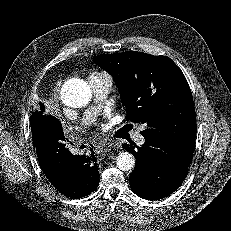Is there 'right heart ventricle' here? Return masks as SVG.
<instances>
[{
  "label": "right heart ventricle",
  "mask_w": 231,
  "mask_h": 231,
  "mask_svg": "<svg viewBox=\"0 0 231 231\" xmlns=\"http://www.w3.org/2000/svg\"><path fill=\"white\" fill-rule=\"evenodd\" d=\"M90 77H109L110 78V75L104 71H95L91 73Z\"/></svg>",
  "instance_id": "e07e8e85"
}]
</instances>
